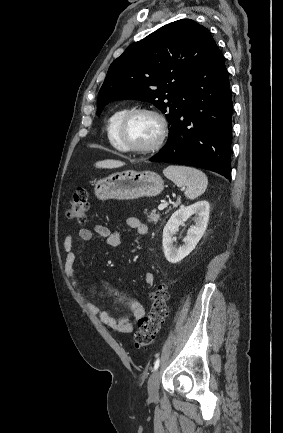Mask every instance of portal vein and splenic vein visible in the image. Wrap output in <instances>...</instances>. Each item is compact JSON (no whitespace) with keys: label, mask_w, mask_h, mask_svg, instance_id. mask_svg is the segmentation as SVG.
I'll return each instance as SVG.
<instances>
[{"label":"portal vein and splenic vein","mask_w":283,"mask_h":433,"mask_svg":"<svg viewBox=\"0 0 283 433\" xmlns=\"http://www.w3.org/2000/svg\"><path fill=\"white\" fill-rule=\"evenodd\" d=\"M165 206H167V204H159L158 208H159V210H163V208H165Z\"/></svg>","instance_id":"obj_1"}]
</instances>
